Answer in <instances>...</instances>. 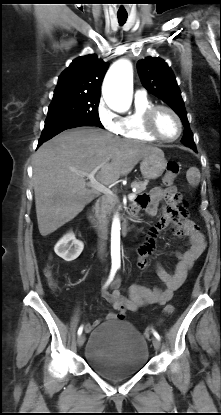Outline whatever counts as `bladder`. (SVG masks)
Returning <instances> with one entry per match:
<instances>
[{"label":"bladder","mask_w":221,"mask_h":415,"mask_svg":"<svg viewBox=\"0 0 221 415\" xmlns=\"http://www.w3.org/2000/svg\"><path fill=\"white\" fill-rule=\"evenodd\" d=\"M85 356L97 374L118 380L141 371L148 361L149 349L145 338L131 323L116 319L93 330Z\"/></svg>","instance_id":"obj_1"}]
</instances>
